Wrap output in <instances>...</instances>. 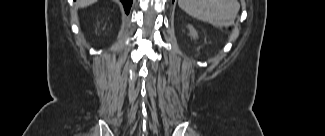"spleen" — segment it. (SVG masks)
I'll return each instance as SVG.
<instances>
[{
  "label": "spleen",
  "instance_id": "obj_1",
  "mask_svg": "<svg viewBox=\"0 0 325 136\" xmlns=\"http://www.w3.org/2000/svg\"><path fill=\"white\" fill-rule=\"evenodd\" d=\"M178 4L188 15L217 28L226 25L233 15L223 0H179Z\"/></svg>",
  "mask_w": 325,
  "mask_h": 136
}]
</instances>
